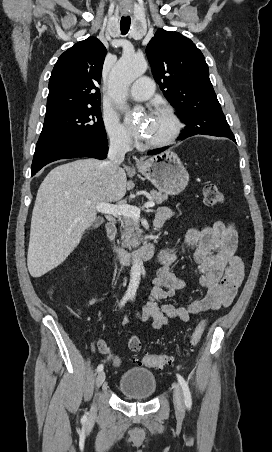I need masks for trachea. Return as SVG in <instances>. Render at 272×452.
<instances>
[{
	"label": "trachea",
	"instance_id": "3493384b",
	"mask_svg": "<svg viewBox=\"0 0 272 452\" xmlns=\"http://www.w3.org/2000/svg\"><path fill=\"white\" fill-rule=\"evenodd\" d=\"M131 19L129 16L122 17L120 21V29L123 35L127 34L130 29Z\"/></svg>",
	"mask_w": 272,
	"mask_h": 452
}]
</instances>
